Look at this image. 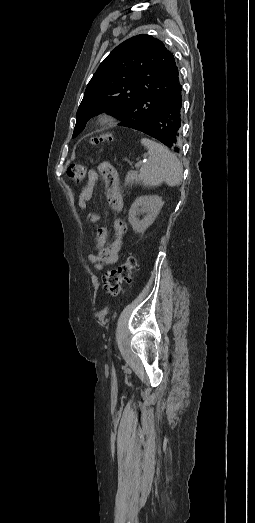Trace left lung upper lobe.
I'll list each match as a JSON object with an SVG mask.
<instances>
[{
	"instance_id": "obj_1",
	"label": "left lung upper lobe",
	"mask_w": 255,
	"mask_h": 523,
	"mask_svg": "<svg viewBox=\"0 0 255 523\" xmlns=\"http://www.w3.org/2000/svg\"><path fill=\"white\" fill-rule=\"evenodd\" d=\"M177 86L181 84L173 54L150 35L134 36L108 55L88 83L72 138L104 111L117 114L123 120L120 126L143 125L159 115Z\"/></svg>"
}]
</instances>
